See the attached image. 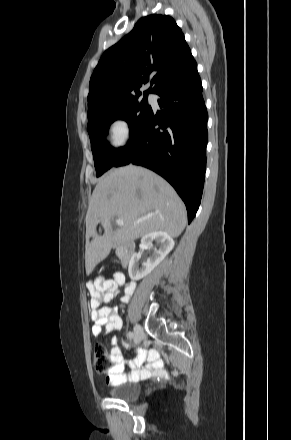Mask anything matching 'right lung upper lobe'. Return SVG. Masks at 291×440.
Returning a JSON list of instances; mask_svg holds the SVG:
<instances>
[{"label": "right lung upper lobe", "mask_w": 291, "mask_h": 440, "mask_svg": "<svg viewBox=\"0 0 291 440\" xmlns=\"http://www.w3.org/2000/svg\"><path fill=\"white\" fill-rule=\"evenodd\" d=\"M197 64L181 29L168 15L141 18L133 30L102 55L91 79L88 111L94 107L156 93Z\"/></svg>", "instance_id": "cb5924a9"}]
</instances>
